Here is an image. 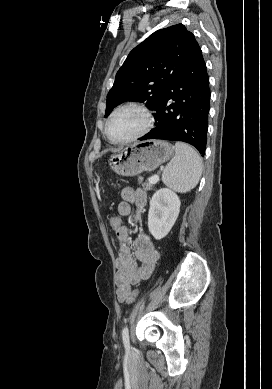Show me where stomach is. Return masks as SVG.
<instances>
[{"label": "stomach", "instance_id": "stomach-1", "mask_svg": "<svg viewBox=\"0 0 272 389\" xmlns=\"http://www.w3.org/2000/svg\"><path fill=\"white\" fill-rule=\"evenodd\" d=\"M174 155L173 146L162 140L134 143L110 157V167L118 175L131 177L152 171Z\"/></svg>", "mask_w": 272, "mask_h": 389}]
</instances>
